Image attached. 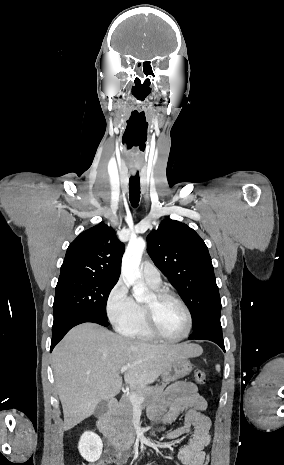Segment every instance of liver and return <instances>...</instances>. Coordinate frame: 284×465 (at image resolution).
Segmentation results:
<instances>
[{
	"label": "liver",
	"instance_id": "1",
	"mask_svg": "<svg viewBox=\"0 0 284 465\" xmlns=\"http://www.w3.org/2000/svg\"><path fill=\"white\" fill-rule=\"evenodd\" d=\"M202 353V347L194 343L151 345L125 339L95 323L74 327L52 353L64 431L91 417L100 401L120 393L122 367L130 365L124 373L130 389H142L141 385L154 383L178 359Z\"/></svg>",
	"mask_w": 284,
	"mask_h": 465
}]
</instances>
